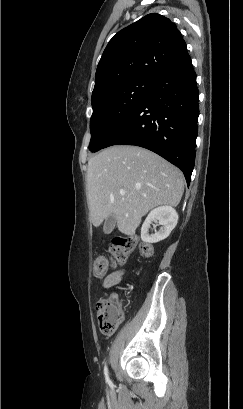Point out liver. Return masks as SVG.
Returning <instances> with one entry per match:
<instances>
[{
    "instance_id": "obj_1",
    "label": "liver",
    "mask_w": 243,
    "mask_h": 409,
    "mask_svg": "<svg viewBox=\"0 0 243 409\" xmlns=\"http://www.w3.org/2000/svg\"><path fill=\"white\" fill-rule=\"evenodd\" d=\"M87 198L95 227L115 216L118 230L133 236L149 210L176 207L184 175L159 155L137 146L115 145L88 161ZM120 190L126 194L122 196Z\"/></svg>"
}]
</instances>
